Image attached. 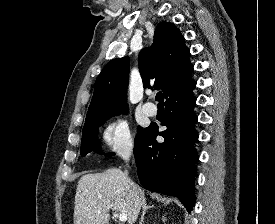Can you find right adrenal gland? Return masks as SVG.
I'll use <instances>...</instances> for the list:
<instances>
[{"mask_svg":"<svg viewBox=\"0 0 275 224\" xmlns=\"http://www.w3.org/2000/svg\"><path fill=\"white\" fill-rule=\"evenodd\" d=\"M153 207H154L153 205H152V206H149V205H147L146 203H144V204L142 205L143 211H142V215H141L140 224H143V222H144V215H145L146 211H147L148 209L153 208Z\"/></svg>","mask_w":275,"mask_h":224,"instance_id":"right-adrenal-gland-1","label":"right adrenal gland"}]
</instances>
